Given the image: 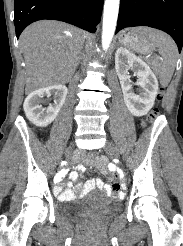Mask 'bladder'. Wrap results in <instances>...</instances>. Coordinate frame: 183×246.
<instances>
[{
  "label": "bladder",
  "instance_id": "bladder-1",
  "mask_svg": "<svg viewBox=\"0 0 183 246\" xmlns=\"http://www.w3.org/2000/svg\"><path fill=\"white\" fill-rule=\"evenodd\" d=\"M119 209L118 203L103 198L100 195H91L64 205L61 208V212L69 218L79 219L94 211L110 215L116 213Z\"/></svg>",
  "mask_w": 183,
  "mask_h": 246
}]
</instances>
